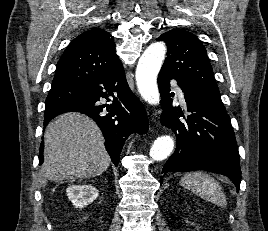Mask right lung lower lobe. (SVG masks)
<instances>
[{"mask_svg":"<svg viewBox=\"0 0 268 231\" xmlns=\"http://www.w3.org/2000/svg\"><path fill=\"white\" fill-rule=\"evenodd\" d=\"M85 88V95L78 99L62 102L53 107H46L44 127L55 116L77 111L92 118L101 128L105 137V147L111 160L118 166L122 147L131 133H146L148 118L142 103L129 89L122 63L106 75L92 81ZM111 104L100 103V98L111 101ZM41 144L39 164L43 163Z\"/></svg>","mask_w":268,"mask_h":231,"instance_id":"98d812e1","label":"right lung lower lobe"}]
</instances>
